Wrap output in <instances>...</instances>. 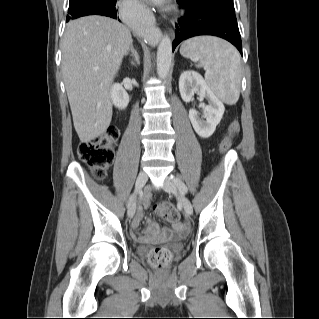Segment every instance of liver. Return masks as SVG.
<instances>
[{
    "instance_id": "liver-1",
    "label": "liver",
    "mask_w": 319,
    "mask_h": 319,
    "mask_svg": "<svg viewBox=\"0 0 319 319\" xmlns=\"http://www.w3.org/2000/svg\"><path fill=\"white\" fill-rule=\"evenodd\" d=\"M130 30L104 16L70 21L62 41V74L81 142L106 132L112 119L111 85L132 44Z\"/></svg>"
}]
</instances>
